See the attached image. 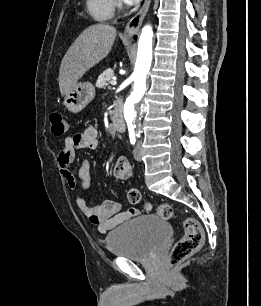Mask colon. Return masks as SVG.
<instances>
[{
  "instance_id": "obj_1",
  "label": "colon",
  "mask_w": 261,
  "mask_h": 306,
  "mask_svg": "<svg viewBox=\"0 0 261 306\" xmlns=\"http://www.w3.org/2000/svg\"><path fill=\"white\" fill-rule=\"evenodd\" d=\"M51 131L54 135L61 136L67 132V122L60 112L54 111L50 114ZM114 177L118 180H128L132 176V167L126 158H119L113 169ZM128 199L133 204L142 201L141 193L136 188H131L128 192ZM145 209L150 210L151 206L145 204ZM156 213L165 220L174 217V209L170 204L161 203L155 208ZM184 235L175 243L169 257L170 266H175L184 259L192 255L203 244V230L200 223L194 218H187L183 223Z\"/></svg>"
}]
</instances>
